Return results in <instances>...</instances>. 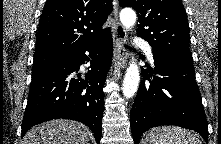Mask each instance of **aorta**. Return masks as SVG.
Wrapping results in <instances>:
<instances>
[{"label":"aorta","mask_w":221,"mask_h":144,"mask_svg":"<svg viewBox=\"0 0 221 144\" xmlns=\"http://www.w3.org/2000/svg\"><path fill=\"white\" fill-rule=\"evenodd\" d=\"M121 23L126 28H131L136 22V14L130 8H125L120 12ZM140 76L139 68L135 62L130 63L126 70L123 81V95L126 98H131L136 93L139 86Z\"/></svg>","instance_id":"obj_1"}]
</instances>
